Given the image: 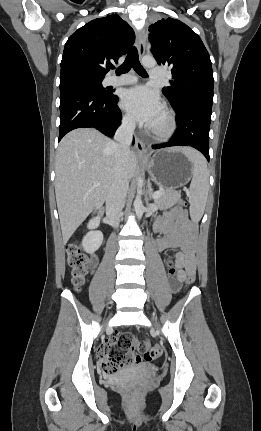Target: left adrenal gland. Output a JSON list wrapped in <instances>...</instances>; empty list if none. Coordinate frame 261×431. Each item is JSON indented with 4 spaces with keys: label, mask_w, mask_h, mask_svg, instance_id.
I'll return each instance as SVG.
<instances>
[{
    "label": "left adrenal gland",
    "mask_w": 261,
    "mask_h": 431,
    "mask_svg": "<svg viewBox=\"0 0 261 431\" xmlns=\"http://www.w3.org/2000/svg\"><path fill=\"white\" fill-rule=\"evenodd\" d=\"M147 187H148V189H147V195L151 198L152 193H153V189H152L150 180H148ZM146 202H148V197H146Z\"/></svg>",
    "instance_id": "left-adrenal-gland-1"
}]
</instances>
